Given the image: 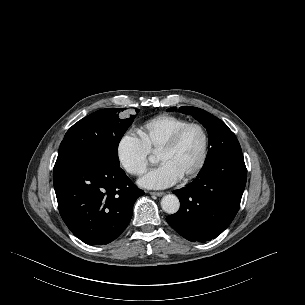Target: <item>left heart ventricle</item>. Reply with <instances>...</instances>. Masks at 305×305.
Wrapping results in <instances>:
<instances>
[{"label":"left heart ventricle","mask_w":305,"mask_h":305,"mask_svg":"<svg viewBox=\"0 0 305 305\" xmlns=\"http://www.w3.org/2000/svg\"><path fill=\"white\" fill-rule=\"evenodd\" d=\"M203 151V136L197 128L189 129L171 151L158 154L161 163L171 165L183 177L196 167Z\"/></svg>","instance_id":"1"}]
</instances>
